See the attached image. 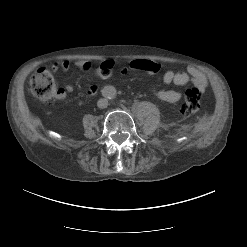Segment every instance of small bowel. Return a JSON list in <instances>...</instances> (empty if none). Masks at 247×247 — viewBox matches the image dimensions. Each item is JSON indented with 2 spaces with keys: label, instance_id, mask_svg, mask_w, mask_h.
I'll list each match as a JSON object with an SVG mask.
<instances>
[{
  "label": "small bowel",
  "instance_id": "c3829d8e",
  "mask_svg": "<svg viewBox=\"0 0 247 247\" xmlns=\"http://www.w3.org/2000/svg\"><path fill=\"white\" fill-rule=\"evenodd\" d=\"M76 66L83 71H88L91 68V63L86 60H79L76 62ZM70 67V64L67 61L62 62L61 64H54L52 70L57 72L58 70L66 71ZM128 70H142L150 74H155L160 70V65L153 61L148 60H134L132 61L128 68H123L122 73L127 72ZM162 81L165 84H174L177 86L186 85L191 82L200 92H204L208 87V80L206 75L199 69L194 66H189L184 72H173L166 71L162 75ZM74 90L72 85H66L64 90H61L59 97H65L66 93H71ZM97 92V87L91 85L87 89L88 95H94ZM152 93L160 100L166 101L169 103H177L181 99V93L175 90H166L159 88L157 86L152 87Z\"/></svg>",
  "mask_w": 247,
  "mask_h": 247
}]
</instances>
